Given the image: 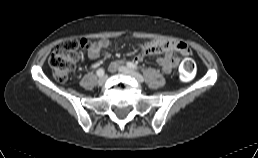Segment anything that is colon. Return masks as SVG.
I'll use <instances>...</instances> for the list:
<instances>
[{
	"label": "colon",
	"mask_w": 258,
	"mask_h": 158,
	"mask_svg": "<svg viewBox=\"0 0 258 158\" xmlns=\"http://www.w3.org/2000/svg\"><path fill=\"white\" fill-rule=\"evenodd\" d=\"M86 44L87 41L84 39L69 40L59 45L53 51L49 58V65L57 81L64 82L69 78L80 58L81 50ZM179 75L183 81H190L193 78L194 64L189 55L184 57Z\"/></svg>",
	"instance_id": "colon-1"
}]
</instances>
